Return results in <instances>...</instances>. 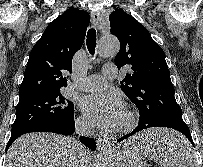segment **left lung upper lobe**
Returning a JSON list of instances; mask_svg holds the SVG:
<instances>
[{"instance_id": "1", "label": "left lung upper lobe", "mask_w": 203, "mask_h": 167, "mask_svg": "<svg viewBox=\"0 0 203 167\" xmlns=\"http://www.w3.org/2000/svg\"><path fill=\"white\" fill-rule=\"evenodd\" d=\"M109 20L111 33L120 41L115 64L118 69H132L121 81V89L139 110L138 125L183 121L162 48L122 9L111 13Z\"/></svg>"}]
</instances>
